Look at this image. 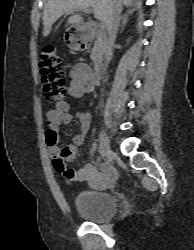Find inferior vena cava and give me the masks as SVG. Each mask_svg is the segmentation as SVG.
I'll use <instances>...</instances> for the list:
<instances>
[{
  "label": "inferior vena cava",
  "mask_w": 194,
  "mask_h": 250,
  "mask_svg": "<svg viewBox=\"0 0 194 250\" xmlns=\"http://www.w3.org/2000/svg\"><path fill=\"white\" fill-rule=\"evenodd\" d=\"M119 13H120V5L118 4L117 7L115 8L113 17L108 27L109 33H108V39L106 41V46H105V65H104V71H103L104 73L106 71V68L110 61V57L112 55V50H113L114 42L116 39L117 28L119 24Z\"/></svg>",
  "instance_id": "obj_1"
}]
</instances>
